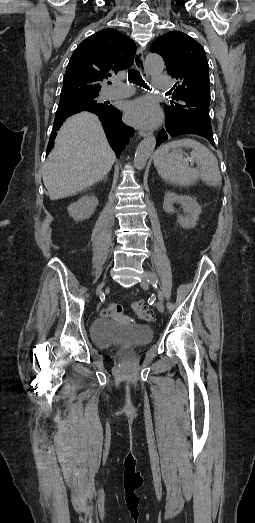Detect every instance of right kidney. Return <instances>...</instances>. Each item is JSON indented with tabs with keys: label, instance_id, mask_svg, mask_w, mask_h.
I'll use <instances>...</instances> for the list:
<instances>
[{
	"label": "right kidney",
	"instance_id": "ca27d5eb",
	"mask_svg": "<svg viewBox=\"0 0 255 523\" xmlns=\"http://www.w3.org/2000/svg\"><path fill=\"white\" fill-rule=\"evenodd\" d=\"M98 206V200L95 196H82L74 204H70L68 208L69 216L73 220H87L95 212V208Z\"/></svg>",
	"mask_w": 255,
	"mask_h": 523
}]
</instances>
